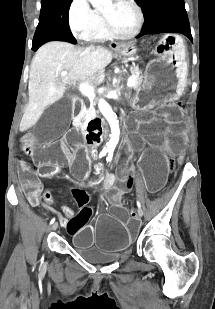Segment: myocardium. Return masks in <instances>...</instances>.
<instances>
[{
  "label": "myocardium",
  "mask_w": 215,
  "mask_h": 309,
  "mask_svg": "<svg viewBox=\"0 0 215 309\" xmlns=\"http://www.w3.org/2000/svg\"><path fill=\"white\" fill-rule=\"evenodd\" d=\"M119 7L129 10L132 14V25L130 27H112V20L106 19L103 23V30H107V35H111V38H133L139 31L141 26V13L136 6L131 4H121Z\"/></svg>",
  "instance_id": "f54148a6"
}]
</instances>
